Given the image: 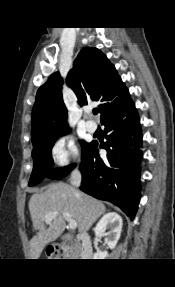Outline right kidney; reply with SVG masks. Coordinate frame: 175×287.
Listing matches in <instances>:
<instances>
[{
	"label": "right kidney",
	"instance_id": "1",
	"mask_svg": "<svg viewBox=\"0 0 175 287\" xmlns=\"http://www.w3.org/2000/svg\"><path fill=\"white\" fill-rule=\"evenodd\" d=\"M106 230H108L106 232ZM122 218L115 212L105 214L94 228L96 237H105V243L110 249H114L121 235ZM108 256L107 251H97L94 259H105Z\"/></svg>",
	"mask_w": 175,
	"mask_h": 287
}]
</instances>
